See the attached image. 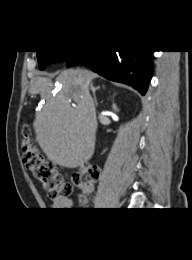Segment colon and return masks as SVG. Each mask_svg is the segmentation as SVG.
I'll return each mask as SVG.
<instances>
[{
  "label": "colon",
  "mask_w": 192,
  "mask_h": 260,
  "mask_svg": "<svg viewBox=\"0 0 192 260\" xmlns=\"http://www.w3.org/2000/svg\"><path fill=\"white\" fill-rule=\"evenodd\" d=\"M23 162L34 178L38 180L48 196L53 200L69 198L72 193L71 184L65 177L49 162L43 154L36 148L31 140L30 129L27 125L23 127ZM100 176V169L96 165L86 164L77 173L73 179L76 186L84 195L90 193L96 181Z\"/></svg>",
  "instance_id": "obj_1"
}]
</instances>
